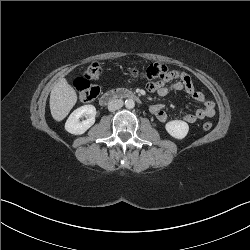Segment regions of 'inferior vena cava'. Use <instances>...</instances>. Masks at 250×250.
<instances>
[{
	"label": "inferior vena cava",
	"instance_id": "1",
	"mask_svg": "<svg viewBox=\"0 0 250 250\" xmlns=\"http://www.w3.org/2000/svg\"><path fill=\"white\" fill-rule=\"evenodd\" d=\"M124 102L121 99H113L108 103V110L113 112L120 109L123 106Z\"/></svg>",
	"mask_w": 250,
	"mask_h": 250
}]
</instances>
